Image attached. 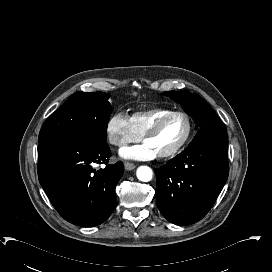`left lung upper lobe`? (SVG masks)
Masks as SVG:
<instances>
[{
	"instance_id": "5c2ea615",
	"label": "left lung upper lobe",
	"mask_w": 272,
	"mask_h": 272,
	"mask_svg": "<svg viewBox=\"0 0 272 272\" xmlns=\"http://www.w3.org/2000/svg\"><path fill=\"white\" fill-rule=\"evenodd\" d=\"M174 101L181 104L185 112L190 115L196 123V129L209 125H222L210 105L196 93L189 91H167L163 93Z\"/></svg>"
}]
</instances>
